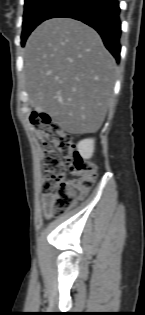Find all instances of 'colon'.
<instances>
[{"mask_svg":"<svg viewBox=\"0 0 145 315\" xmlns=\"http://www.w3.org/2000/svg\"><path fill=\"white\" fill-rule=\"evenodd\" d=\"M30 123L43 144L42 192L52 196L55 213L70 209L94 183L97 167L84 160L72 137L47 114H33ZM69 173L75 178L66 179Z\"/></svg>","mask_w":145,"mask_h":315,"instance_id":"obj_1","label":"colon"}]
</instances>
